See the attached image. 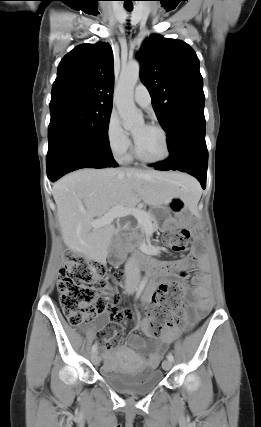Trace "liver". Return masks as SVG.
I'll return each mask as SVG.
<instances>
[{"mask_svg":"<svg viewBox=\"0 0 261 427\" xmlns=\"http://www.w3.org/2000/svg\"><path fill=\"white\" fill-rule=\"evenodd\" d=\"M196 181L178 172L127 168L74 171L53 185V197L65 245L87 258L104 263L115 227L110 223L93 227L116 206L134 208L143 201L152 207L168 204L173 197L191 198L189 186Z\"/></svg>","mask_w":261,"mask_h":427,"instance_id":"obj_1","label":"liver"}]
</instances>
